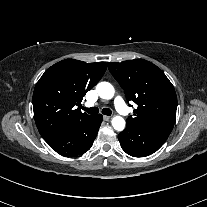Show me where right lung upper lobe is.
Listing matches in <instances>:
<instances>
[{"label":"right lung upper lobe","instance_id":"1","mask_svg":"<svg viewBox=\"0 0 207 207\" xmlns=\"http://www.w3.org/2000/svg\"><path fill=\"white\" fill-rule=\"evenodd\" d=\"M106 67L105 62L66 59L44 72L34 89L33 110L39 133L46 141L92 116L82 113L78 107L87 91L101 79Z\"/></svg>","mask_w":207,"mask_h":207}]
</instances>
